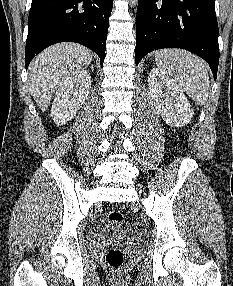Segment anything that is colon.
<instances>
[{"mask_svg": "<svg viewBox=\"0 0 233 286\" xmlns=\"http://www.w3.org/2000/svg\"><path fill=\"white\" fill-rule=\"evenodd\" d=\"M100 220L103 223L120 222L122 220V214L118 210L107 209L101 213ZM105 260L112 270L117 271L124 263V256L119 249L112 248L106 254Z\"/></svg>", "mask_w": 233, "mask_h": 286, "instance_id": "obj_1", "label": "colon"}]
</instances>
